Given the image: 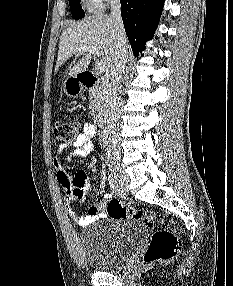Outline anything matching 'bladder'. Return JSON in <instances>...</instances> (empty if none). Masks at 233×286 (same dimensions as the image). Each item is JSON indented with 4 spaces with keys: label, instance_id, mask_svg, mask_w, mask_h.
<instances>
[{
    "label": "bladder",
    "instance_id": "31cf9c89",
    "mask_svg": "<svg viewBox=\"0 0 233 286\" xmlns=\"http://www.w3.org/2000/svg\"><path fill=\"white\" fill-rule=\"evenodd\" d=\"M145 232L144 223L131 218L95 224L79 237L82 257L96 271L119 270L130 261Z\"/></svg>",
    "mask_w": 233,
    "mask_h": 286
}]
</instances>
